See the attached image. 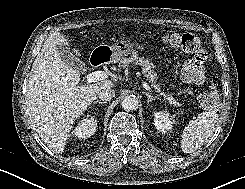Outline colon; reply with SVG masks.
Returning a JSON list of instances; mask_svg holds the SVG:
<instances>
[{"label": "colon", "instance_id": "5ec220e1", "mask_svg": "<svg viewBox=\"0 0 245 189\" xmlns=\"http://www.w3.org/2000/svg\"><path fill=\"white\" fill-rule=\"evenodd\" d=\"M165 42L174 49L187 54H193L194 58L186 61L182 67L181 78L187 83H199L206 76L208 53L201 45L200 39L192 33H172L165 37ZM202 107L212 109L220 105L221 99L217 88L211 87L199 98Z\"/></svg>", "mask_w": 245, "mask_h": 189}]
</instances>
